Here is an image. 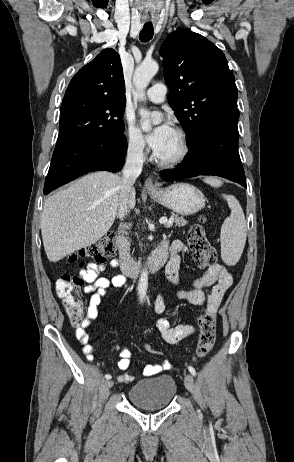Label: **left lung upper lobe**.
I'll return each mask as SVG.
<instances>
[{
	"mask_svg": "<svg viewBox=\"0 0 294 462\" xmlns=\"http://www.w3.org/2000/svg\"><path fill=\"white\" fill-rule=\"evenodd\" d=\"M168 102L187 134V145L223 113L237 109L235 78L223 52L205 37L182 28L164 41Z\"/></svg>",
	"mask_w": 294,
	"mask_h": 462,
	"instance_id": "left-lung-upper-lobe-1",
	"label": "left lung upper lobe"
}]
</instances>
